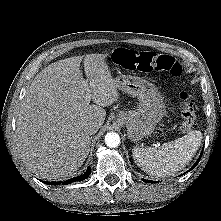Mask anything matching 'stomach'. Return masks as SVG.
<instances>
[{
	"mask_svg": "<svg viewBox=\"0 0 221 221\" xmlns=\"http://www.w3.org/2000/svg\"><path fill=\"white\" fill-rule=\"evenodd\" d=\"M115 82L118 89L139 101L135 110L118 114V121L127 128L128 138L139 141L151 135L166 112L160 92L152 83L138 76L120 74Z\"/></svg>",
	"mask_w": 221,
	"mask_h": 221,
	"instance_id": "stomach-1",
	"label": "stomach"
}]
</instances>
